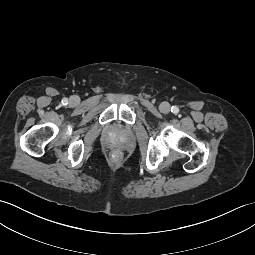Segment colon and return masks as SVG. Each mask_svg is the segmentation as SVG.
Instances as JSON below:
<instances>
[{"label": "colon", "instance_id": "1", "mask_svg": "<svg viewBox=\"0 0 255 255\" xmlns=\"http://www.w3.org/2000/svg\"><path fill=\"white\" fill-rule=\"evenodd\" d=\"M113 157H114V158H118V157H119V154H118L117 152H115V153L113 154Z\"/></svg>", "mask_w": 255, "mask_h": 255}]
</instances>
